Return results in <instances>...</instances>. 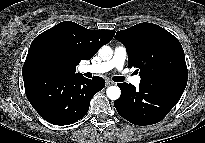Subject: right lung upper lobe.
<instances>
[{"instance_id": "cb5924a9", "label": "right lung upper lobe", "mask_w": 205, "mask_h": 143, "mask_svg": "<svg viewBox=\"0 0 205 143\" xmlns=\"http://www.w3.org/2000/svg\"><path fill=\"white\" fill-rule=\"evenodd\" d=\"M114 30H90L75 22L64 21L46 30L37 36L29 48L44 40H55L62 44L70 53L71 61L68 74H80L76 72V66L81 60L91 59L99 48L114 37ZM26 57L23 68L32 65L30 56Z\"/></svg>"}]
</instances>
